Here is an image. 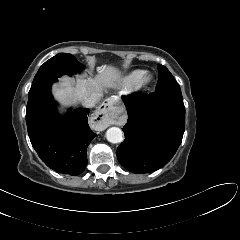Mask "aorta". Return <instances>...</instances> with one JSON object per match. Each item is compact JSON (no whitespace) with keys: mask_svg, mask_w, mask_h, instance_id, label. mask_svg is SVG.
Wrapping results in <instances>:
<instances>
[{"mask_svg":"<svg viewBox=\"0 0 240 240\" xmlns=\"http://www.w3.org/2000/svg\"><path fill=\"white\" fill-rule=\"evenodd\" d=\"M106 138L111 143H120L123 140V132L118 127H111L106 132Z\"/></svg>","mask_w":240,"mask_h":240,"instance_id":"1","label":"aorta"}]
</instances>
